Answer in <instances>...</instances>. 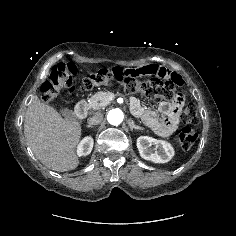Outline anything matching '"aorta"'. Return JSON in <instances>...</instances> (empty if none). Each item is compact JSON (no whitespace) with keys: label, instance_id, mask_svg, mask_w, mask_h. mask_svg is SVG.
I'll use <instances>...</instances> for the list:
<instances>
[{"label":"aorta","instance_id":"762f6f07","mask_svg":"<svg viewBox=\"0 0 236 236\" xmlns=\"http://www.w3.org/2000/svg\"><path fill=\"white\" fill-rule=\"evenodd\" d=\"M124 118V113L119 108L111 109L107 114V121L114 126H118L122 123Z\"/></svg>","mask_w":236,"mask_h":236}]
</instances>
